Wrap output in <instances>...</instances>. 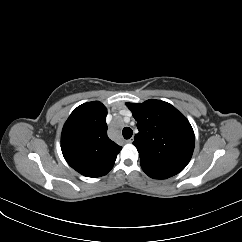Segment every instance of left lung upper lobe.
<instances>
[{"label": "left lung upper lobe", "mask_w": 242, "mask_h": 242, "mask_svg": "<svg viewBox=\"0 0 242 242\" xmlns=\"http://www.w3.org/2000/svg\"><path fill=\"white\" fill-rule=\"evenodd\" d=\"M139 133L133 144L143 171L151 178L166 179L181 172L193 154L195 137L189 121L171 104L147 100L127 103Z\"/></svg>", "instance_id": "obj_1"}]
</instances>
